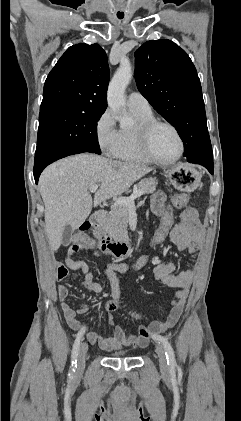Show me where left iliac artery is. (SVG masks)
I'll use <instances>...</instances> for the list:
<instances>
[{
  "mask_svg": "<svg viewBox=\"0 0 241 421\" xmlns=\"http://www.w3.org/2000/svg\"><path fill=\"white\" fill-rule=\"evenodd\" d=\"M156 339L162 343L165 349V355L167 358V364L171 371H174L175 367L177 366L175 354L170 342L164 336H157Z\"/></svg>",
  "mask_w": 241,
  "mask_h": 421,
  "instance_id": "left-iliac-artery-1",
  "label": "left iliac artery"
}]
</instances>
